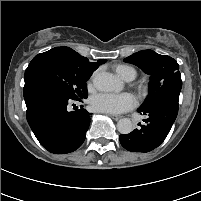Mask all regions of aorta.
Listing matches in <instances>:
<instances>
[{
  "instance_id": "aorta-1",
  "label": "aorta",
  "mask_w": 201,
  "mask_h": 201,
  "mask_svg": "<svg viewBox=\"0 0 201 201\" xmlns=\"http://www.w3.org/2000/svg\"><path fill=\"white\" fill-rule=\"evenodd\" d=\"M95 88L102 92L120 91L122 83L111 73L97 72L93 77ZM117 129L121 134H129L133 131V124L130 119L123 118L117 122Z\"/></svg>"
}]
</instances>
